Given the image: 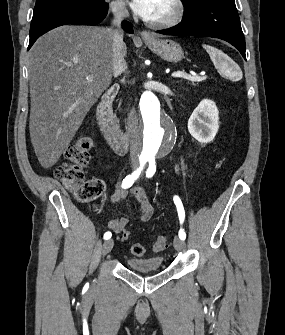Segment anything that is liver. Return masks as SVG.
<instances>
[{
	"instance_id": "6515ba94",
	"label": "liver",
	"mask_w": 285,
	"mask_h": 335,
	"mask_svg": "<svg viewBox=\"0 0 285 335\" xmlns=\"http://www.w3.org/2000/svg\"><path fill=\"white\" fill-rule=\"evenodd\" d=\"M112 58V34L99 26H60L31 48L29 130L42 168L58 162L90 108L109 88ZM86 76H93V82Z\"/></svg>"
}]
</instances>
